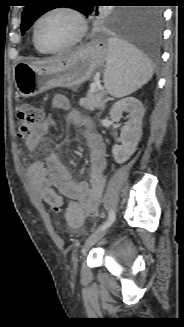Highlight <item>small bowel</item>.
<instances>
[{"label": "small bowel", "mask_w": 184, "mask_h": 327, "mask_svg": "<svg viewBox=\"0 0 184 327\" xmlns=\"http://www.w3.org/2000/svg\"><path fill=\"white\" fill-rule=\"evenodd\" d=\"M52 107L67 111L70 121L83 129L90 149L89 179L82 182L73 180L57 154H49L44 162L32 163L28 168L27 177L34 193L48 205L57 203L63 209L65 200H68L65 207L67 223L72 228H78L88 216L89 209L96 212L97 201L105 186L104 171L107 165L105 144L102 137L94 131L92 124L71 110L70 103L65 96H55L52 100ZM55 129V119L51 116L47 117L35 133L27 138V149L36 150L41 139Z\"/></svg>", "instance_id": "obj_1"}]
</instances>
